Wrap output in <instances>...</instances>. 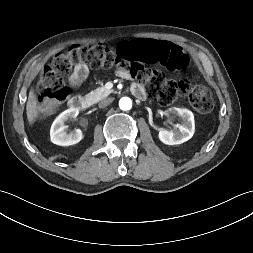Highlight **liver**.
<instances>
[{
	"label": "liver",
	"mask_w": 253,
	"mask_h": 253,
	"mask_svg": "<svg viewBox=\"0 0 253 253\" xmlns=\"http://www.w3.org/2000/svg\"><path fill=\"white\" fill-rule=\"evenodd\" d=\"M26 114L29 124H33L38 114V108H37V99L32 89L30 90L28 95V100L26 104Z\"/></svg>",
	"instance_id": "liver-1"
}]
</instances>
